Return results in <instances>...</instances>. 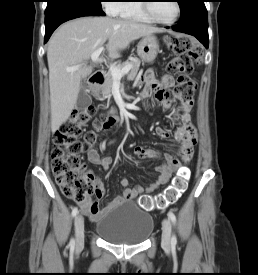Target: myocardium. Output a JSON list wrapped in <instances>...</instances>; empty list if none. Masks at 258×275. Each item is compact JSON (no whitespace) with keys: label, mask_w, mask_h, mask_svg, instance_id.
I'll return each mask as SVG.
<instances>
[{"label":"myocardium","mask_w":258,"mask_h":275,"mask_svg":"<svg viewBox=\"0 0 258 275\" xmlns=\"http://www.w3.org/2000/svg\"><path fill=\"white\" fill-rule=\"evenodd\" d=\"M143 2H150V1H143ZM175 5H176V9H177V12H176V15L175 17L170 20V21H162L160 19H158L153 11H152V8H151V4L152 3H142V7H143V10L144 12L146 13V15L155 23H158V24H163V25H170V24H173L174 22H176L181 14V6H180V3L175 0Z\"/></svg>","instance_id":"obj_1"}]
</instances>
